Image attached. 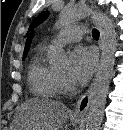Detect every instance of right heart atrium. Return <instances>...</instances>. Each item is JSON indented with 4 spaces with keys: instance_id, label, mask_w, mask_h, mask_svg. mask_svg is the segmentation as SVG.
<instances>
[{
    "instance_id": "obj_1",
    "label": "right heart atrium",
    "mask_w": 123,
    "mask_h": 130,
    "mask_svg": "<svg viewBox=\"0 0 123 130\" xmlns=\"http://www.w3.org/2000/svg\"><path fill=\"white\" fill-rule=\"evenodd\" d=\"M65 86V81L63 78H61V88H63Z\"/></svg>"
}]
</instances>
